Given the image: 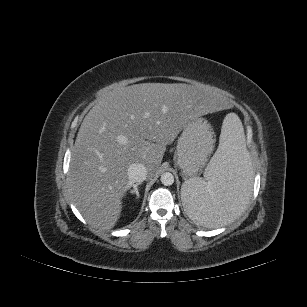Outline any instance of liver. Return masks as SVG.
<instances>
[{
    "mask_svg": "<svg viewBox=\"0 0 307 307\" xmlns=\"http://www.w3.org/2000/svg\"><path fill=\"white\" fill-rule=\"evenodd\" d=\"M227 107L222 94L183 83L135 84L100 99L80 126L68 171L71 198L85 220L112 229L133 183L128 167L141 163L154 175L188 121Z\"/></svg>",
    "mask_w": 307,
    "mask_h": 307,
    "instance_id": "obj_1",
    "label": "liver"
}]
</instances>
